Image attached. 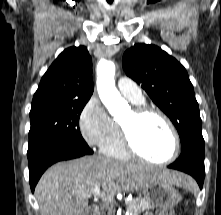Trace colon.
I'll return each instance as SVG.
<instances>
[{"label": "colon", "mask_w": 221, "mask_h": 215, "mask_svg": "<svg viewBox=\"0 0 221 215\" xmlns=\"http://www.w3.org/2000/svg\"><path fill=\"white\" fill-rule=\"evenodd\" d=\"M158 215H178L174 210H163L158 213Z\"/></svg>", "instance_id": "1"}]
</instances>
